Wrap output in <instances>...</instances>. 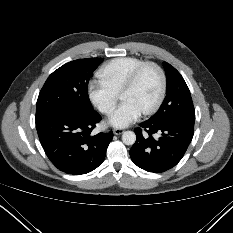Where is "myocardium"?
I'll use <instances>...</instances> for the list:
<instances>
[{"mask_svg": "<svg viewBox=\"0 0 233 233\" xmlns=\"http://www.w3.org/2000/svg\"><path fill=\"white\" fill-rule=\"evenodd\" d=\"M148 68H153L158 72L159 77H160V92H159L158 98L155 101V103L150 108L143 111V114L145 115H151L157 112L159 108L161 107V105L163 104L164 99L166 97L167 77H166V73L163 70V68L155 62H144L132 72V74L130 75L128 80L125 82L121 90V93H122L124 90L135 87L139 79L141 78L142 74L144 73V71L147 70Z\"/></svg>", "mask_w": 233, "mask_h": 233, "instance_id": "myocardium-1", "label": "myocardium"}]
</instances>
